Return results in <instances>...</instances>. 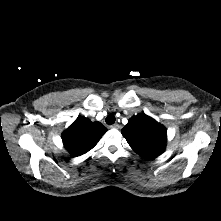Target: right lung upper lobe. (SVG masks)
Wrapping results in <instances>:
<instances>
[{
    "mask_svg": "<svg viewBox=\"0 0 221 221\" xmlns=\"http://www.w3.org/2000/svg\"><path fill=\"white\" fill-rule=\"evenodd\" d=\"M106 131L100 122L79 116L62 134L64 147L72 156H80L91 150Z\"/></svg>",
    "mask_w": 221,
    "mask_h": 221,
    "instance_id": "cb5924a9",
    "label": "right lung upper lobe"
}]
</instances>
